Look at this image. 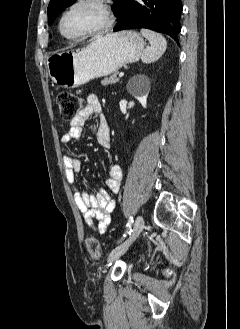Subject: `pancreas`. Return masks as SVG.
<instances>
[{
    "instance_id": "pancreas-1",
    "label": "pancreas",
    "mask_w": 240,
    "mask_h": 329,
    "mask_svg": "<svg viewBox=\"0 0 240 329\" xmlns=\"http://www.w3.org/2000/svg\"><path fill=\"white\" fill-rule=\"evenodd\" d=\"M119 81V78L117 77V73H114L110 77H106L101 81V84L103 86L108 85V84H114Z\"/></svg>"
}]
</instances>
